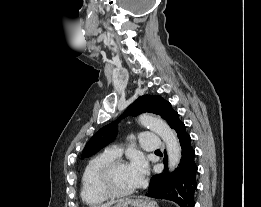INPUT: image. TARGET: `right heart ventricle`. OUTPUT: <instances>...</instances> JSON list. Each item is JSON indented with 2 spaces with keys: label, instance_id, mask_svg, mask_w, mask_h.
Here are the masks:
<instances>
[{
  "label": "right heart ventricle",
  "instance_id": "obj_1",
  "mask_svg": "<svg viewBox=\"0 0 261 207\" xmlns=\"http://www.w3.org/2000/svg\"><path fill=\"white\" fill-rule=\"evenodd\" d=\"M116 159L106 151L96 155L86 164L81 177V198L87 205H99L108 197L101 191L98 178L102 168Z\"/></svg>",
  "mask_w": 261,
  "mask_h": 207
}]
</instances>
